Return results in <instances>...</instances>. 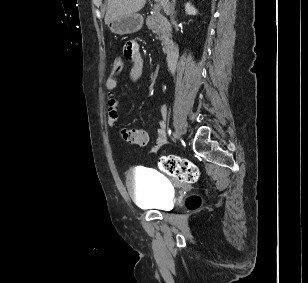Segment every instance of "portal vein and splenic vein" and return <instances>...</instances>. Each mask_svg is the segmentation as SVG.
Here are the masks:
<instances>
[{
	"label": "portal vein and splenic vein",
	"instance_id": "obj_1",
	"mask_svg": "<svg viewBox=\"0 0 308 283\" xmlns=\"http://www.w3.org/2000/svg\"><path fill=\"white\" fill-rule=\"evenodd\" d=\"M155 1L159 2L158 0H155ZM154 9L155 10H159L160 9V4L159 3L155 4Z\"/></svg>",
	"mask_w": 308,
	"mask_h": 283
}]
</instances>
